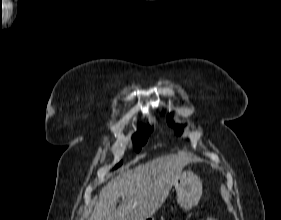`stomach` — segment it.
Instances as JSON below:
<instances>
[{"label":"stomach","mask_w":281,"mask_h":220,"mask_svg":"<svg viewBox=\"0 0 281 220\" xmlns=\"http://www.w3.org/2000/svg\"><path fill=\"white\" fill-rule=\"evenodd\" d=\"M173 185L181 208L189 210L198 204L202 193V183L196 174L183 171L175 179Z\"/></svg>","instance_id":"obj_1"}]
</instances>
